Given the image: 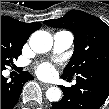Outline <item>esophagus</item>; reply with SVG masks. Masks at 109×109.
<instances>
[{"instance_id":"esophagus-1","label":"esophagus","mask_w":109,"mask_h":109,"mask_svg":"<svg viewBox=\"0 0 109 109\" xmlns=\"http://www.w3.org/2000/svg\"><path fill=\"white\" fill-rule=\"evenodd\" d=\"M42 86H43L44 88H49L51 85H50V84H46V83H42Z\"/></svg>"}]
</instances>
